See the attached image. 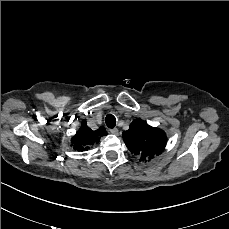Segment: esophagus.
<instances>
[{
    "instance_id": "esophagus-1",
    "label": "esophagus",
    "mask_w": 229,
    "mask_h": 229,
    "mask_svg": "<svg viewBox=\"0 0 229 229\" xmlns=\"http://www.w3.org/2000/svg\"><path fill=\"white\" fill-rule=\"evenodd\" d=\"M110 133L113 135H118V129L117 128H112L110 129Z\"/></svg>"
}]
</instances>
